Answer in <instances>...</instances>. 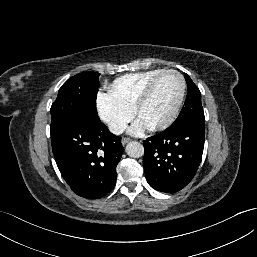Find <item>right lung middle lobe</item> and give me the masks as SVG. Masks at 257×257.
<instances>
[{"label":"right lung middle lobe","instance_id":"obj_1","mask_svg":"<svg viewBox=\"0 0 257 257\" xmlns=\"http://www.w3.org/2000/svg\"><path fill=\"white\" fill-rule=\"evenodd\" d=\"M99 73L86 71L68 79L59 89L51 106V132L71 122L99 124L96 110V96L99 87Z\"/></svg>","mask_w":257,"mask_h":257}]
</instances>
